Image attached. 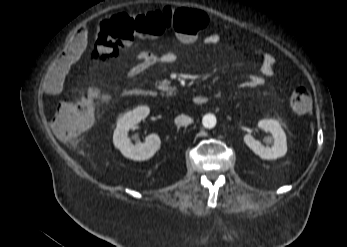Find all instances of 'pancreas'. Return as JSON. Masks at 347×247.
<instances>
[{
	"instance_id": "obj_1",
	"label": "pancreas",
	"mask_w": 347,
	"mask_h": 247,
	"mask_svg": "<svg viewBox=\"0 0 347 247\" xmlns=\"http://www.w3.org/2000/svg\"><path fill=\"white\" fill-rule=\"evenodd\" d=\"M156 87L159 90H161L163 92H166L167 96H171L173 94V90L174 89L168 86V82L167 81H161V82L156 83Z\"/></svg>"
}]
</instances>
